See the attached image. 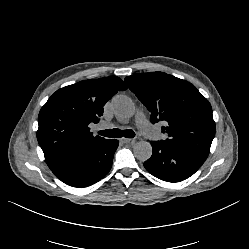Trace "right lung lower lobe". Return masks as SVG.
Segmentation results:
<instances>
[{
	"mask_svg": "<svg viewBox=\"0 0 249 249\" xmlns=\"http://www.w3.org/2000/svg\"><path fill=\"white\" fill-rule=\"evenodd\" d=\"M118 144V140L106 139L98 147L74 157L52 172L70 186H90L109 172Z\"/></svg>",
	"mask_w": 249,
	"mask_h": 249,
	"instance_id": "1",
	"label": "right lung lower lobe"
}]
</instances>
